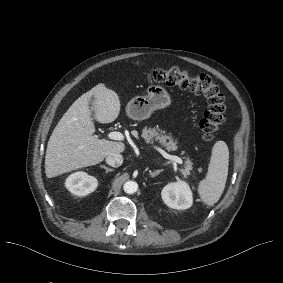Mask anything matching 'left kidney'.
I'll return each mask as SVG.
<instances>
[{"label": "left kidney", "instance_id": "5707ae66", "mask_svg": "<svg viewBox=\"0 0 283 283\" xmlns=\"http://www.w3.org/2000/svg\"><path fill=\"white\" fill-rule=\"evenodd\" d=\"M165 204L173 209H188L193 204L192 192L189 185L180 179L177 182L167 184L161 192Z\"/></svg>", "mask_w": 283, "mask_h": 283}]
</instances>
